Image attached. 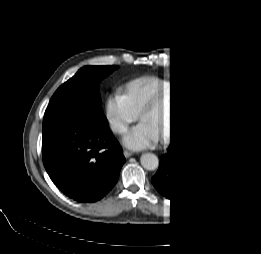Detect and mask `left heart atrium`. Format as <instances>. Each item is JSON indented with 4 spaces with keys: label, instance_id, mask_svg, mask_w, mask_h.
Segmentation results:
<instances>
[{
    "label": "left heart atrium",
    "instance_id": "obj_1",
    "mask_svg": "<svg viewBox=\"0 0 261 254\" xmlns=\"http://www.w3.org/2000/svg\"><path fill=\"white\" fill-rule=\"evenodd\" d=\"M154 140L155 137L144 123L130 129L123 137L124 144L131 148L149 147Z\"/></svg>",
    "mask_w": 261,
    "mask_h": 254
}]
</instances>
